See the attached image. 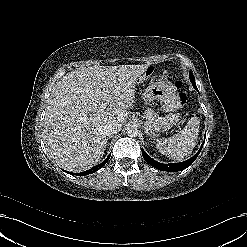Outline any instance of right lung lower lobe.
I'll list each match as a JSON object with an SVG mask.
<instances>
[{"label":"right lung lower lobe","mask_w":247,"mask_h":247,"mask_svg":"<svg viewBox=\"0 0 247 247\" xmlns=\"http://www.w3.org/2000/svg\"><path fill=\"white\" fill-rule=\"evenodd\" d=\"M110 156H111V154H110V155H109V156H108L101 164L96 165V166L92 167L91 169L86 170V171H84V172H81V173H79V175H81V176H83V175H88V174L94 173V172H96L97 170L101 169V168L108 162ZM67 173H69V172L67 171ZM74 174H75V173H74ZM76 174L78 175V173H76Z\"/></svg>","instance_id":"98d812e1"}]
</instances>
